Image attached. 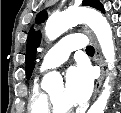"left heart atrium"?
Wrapping results in <instances>:
<instances>
[{"label": "left heart atrium", "instance_id": "1", "mask_svg": "<svg viewBox=\"0 0 121 113\" xmlns=\"http://www.w3.org/2000/svg\"><path fill=\"white\" fill-rule=\"evenodd\" d=\"M92 87L93 74L89 66L79 64L68 70L64 95L69 104L85 103L91 95Z\"/></svg>", "mask_w": 121, "mask_h": 113}]
</instances>
